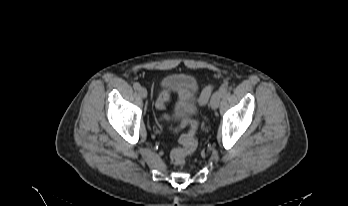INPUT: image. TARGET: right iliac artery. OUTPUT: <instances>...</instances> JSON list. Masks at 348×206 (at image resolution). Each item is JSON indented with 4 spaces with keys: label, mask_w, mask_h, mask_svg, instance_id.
<instances>
[{
    "label": "right iliac artery",
    "mask_w": 348,
    "mask_h": 206,
    "mask_svg": "<svg viewBox=\"0 0 348 206\" xmlns=\"http://www.w3.org/2000/svg\"><path fill=\"white\" fill-rule=\"evenodd\" d=\"M133 87H134L135 90H138V89L140 88V84L137 83V82H135V83L133 84Z\"/></svg>",
    "instance_id": "82829eb1"
}]
</instances>
